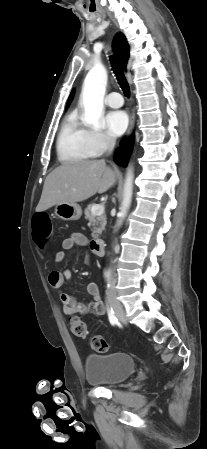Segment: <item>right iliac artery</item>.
I'll use <instances>...</instances> for the list:
<instances>
[{
  "instance_id": "obj_1",
  "label": "right iliac artery",
  "mask_w": 207,
  "mask_h": 449,
  "mask_svg": "<svg viewBox=\"0 0 207 449\" xmlns=\"http://www.w3.org/2000/svg\"><path fill=\"white\" fill-rule=\"evenodd\" d=\"M107 311H108V317H109L110 323H111L112 325L117 324V323H118V319H117V317L115 316L113 309H112L110 306H108V307H107Z\"/></svg>"
}]
</instances>
